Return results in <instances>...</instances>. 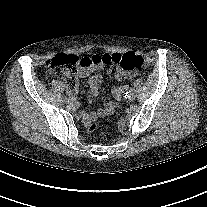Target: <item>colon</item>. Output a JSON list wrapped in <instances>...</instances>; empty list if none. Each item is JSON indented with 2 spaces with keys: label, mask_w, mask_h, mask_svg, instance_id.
Instances as JSON below:
<instances>
[{
  "label": "colon",
  "mask_w": 207,
  "mask_h": 207,
  "mask_svg": "<svg viewBox=\"0 0 207 207\" xmlns=\"http://www.w3.org/2000/svg\"><path fill=\"white\" fill-rule=\"evenodd\" d=\"M110 64L118 65L124 71H135L141 69L144 65L142 57L135 53L119 54H94L79 58L70 54H61L47 63V69L50 71H60L68 86L73 89L76 84V75L80 68H86L92 65ZM97 127L96 122L87 126V132H93Z\"/></svg>",
  "instance_id": "obj_1"
}]
</instances>
